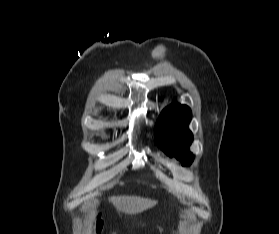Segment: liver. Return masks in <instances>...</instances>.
<instances>
[{
    "instance_id": "6515ba94",
    "label": "liver",
    "mask_w": 279,
    "mask_h": 234,
    "mask_svg": "<svg viewBox=\"0 0 279 234\" xmlns=\"http://www.w3.org/2000/svg\"><path fill=\"white\" fill-rule=\"evenodd\" d=\"M115 207L125 214H138L157 204L156 200L137 196H114L111 197Z\"/></svg>"
}]
</instances>
